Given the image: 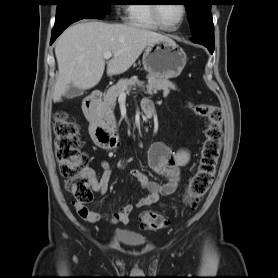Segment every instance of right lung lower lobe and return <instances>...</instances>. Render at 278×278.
<instances>
[{
  "mask_svg": "<svg viewBox=\"0 0 278 278\" xmlns=\"http://www.w3.org/2000/svg\"><path fill=\"white\" fill-rule=\"evenodd\" d=\"M78 21V20H74V21H70L66 24H63L59 27H54L53 31H52V38H51V44L55 41V39L73 22Z\"/></svg>",
  "mask_w": 278,
  "mask_h": 278,
  "instance_id": "98d812e1",
  "label": "right lung lower lobe"
}]
</instances>
